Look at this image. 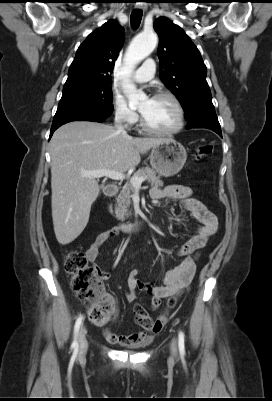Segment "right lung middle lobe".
Segmentation results:
<instances>
[{
	"label": "right lung middle lobe",
	"mask_w": 272,
	"mask_h": 401,
	"mask_svg": "<svg viewBox=\"0 0 272 401\" xmlns=\"http://www.w3.org/2000/svg\"><path fill=\"white\" fill-rule=\"evenodd\" d=\"M112 107L111 82L64 90L53 123L81 114L108 117Z\"/></svg>",
	"instance_id": "right-lung-middle-lobe-1"
}]
</instances>
